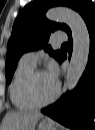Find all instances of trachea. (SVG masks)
<instances>
[{"label": "trachea", "mask_w": 95, "mask_h": 130, "mask_svg": "<svg viewBox=\"0 0 95 130\" xmlns=\"http://www.w3.org/2000/svg\"><path fill=\"white\" fill-rule=\"evenodd\" d=\"M61 47H68V43H63Z\"/></svg>", "instance_id": "1"}]
</instances>
